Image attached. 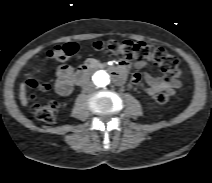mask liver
<instances>
[{"label":"liver","mask_w":212,"mask_h":183,"mask_svg":"<svg viewBox=\"0 0 212 183\" xmlns=\"http://www.w3.org/2000/svg\"><path fill=\"white\" fill-rule=\"evenodd\" d=\"M20 101L23 106H27L28 101H27V97H26V88H25L24 83H22L20 86Z\"/></svg>","instance_id":"obj_1"}]
</instances>
